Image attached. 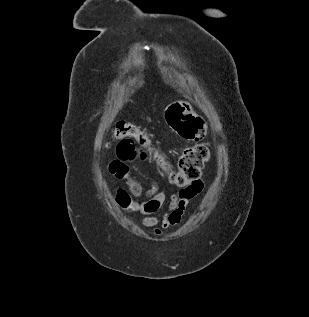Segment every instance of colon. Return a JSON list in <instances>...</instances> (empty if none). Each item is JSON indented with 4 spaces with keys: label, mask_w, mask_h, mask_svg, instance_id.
<instances>
[{
    "label": "colon",
    "mask_w": 309,
    "mask_h": 317,
    "mask_svg": "<svg viewBox=\"0 0 309 317\" xmlns=\"http://www.w3.org/2000/svg\"><path fill=\"white\" fill-rule=\"evenodd\" d=\"M165 119L168 125L184 138L199 140L204 135L203 120L192 114L190 106L186 102L178 101L170 104L165 111ZM113 139L118 140L117 149L131 145L130 158H138L152 150L147 133L139 126L129 122H119L113 132ZM136 141L139 142L137 146ZM209 159V149L204 143H197L187 147L181 153L177 168L172 169L163 158L159 157V163L167 170L173 184L180 188H188L200 179L202 170Z\"/></svg>",
    "instance_id": "colon-1"
}]
</instances>
